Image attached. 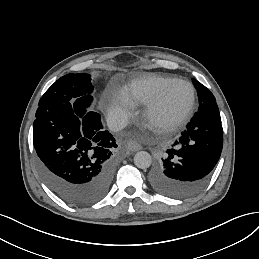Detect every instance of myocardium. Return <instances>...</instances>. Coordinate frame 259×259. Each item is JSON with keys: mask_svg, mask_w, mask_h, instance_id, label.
I'll return each mask as SVG.
<instances>
[{"mask_svg": "<svg viewBox=\"0 0 259 259\" xmlns=\"http://www.w3.org/2000/svg\"><path fill=\"white\" fill-rule=\"evenodd\" d=\"M176 82H184L188 85L190 88V100L186 104V106L174 114L173 116L169 117L161 129L163 131L167 132H174L176 131L186 120L187 118L191 115L192 111L194 110L195 104H196V89L195 86L191 81H189L186 78L183 77H178V76H173L172 78L168 79L165 82V88L170 86L173 83ZM161 108V98H154L146 101L145 103V108L143 110V116L150 118L154 113H156L159 109Z\"/></svg>", "mask_w": 259, "mask_h": 259, "instance_id": "1", "label": "myocardium"}]
</instances>
